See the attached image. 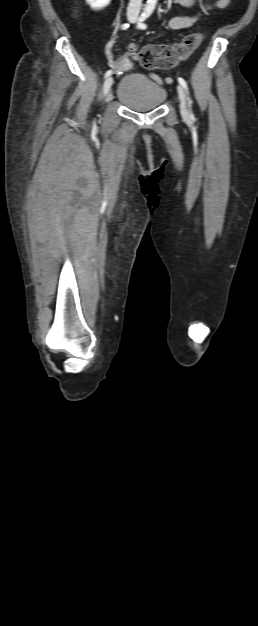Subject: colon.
Here are the masks:
<instances>
[{
  "label": "colon",
  "mask_w": 258,
  "mask_h": 626,
  "mask_svg": "<svg viewBox=\"0 0 258 626\" xmlns=\"http://www.w3.org/2000/svg\"><path fill=\"white\" fill-rule=\"evenodd\" d=\"M201 40L202 35L194 33L175 45H148L138 51L134 44H130L129 52L139 58L144 68L170 69L179 61L189 58L199 47Z\"/></svg>",
  "instance_id": "1"
}]
</instances>
